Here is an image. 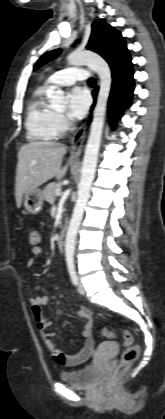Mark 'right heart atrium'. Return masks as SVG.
Wrapping results in <instances>:
<instances>
[{
	"mask_svg": "<svg viewBox=\"0 0 165 419\" xmlns=\"http://www.w3.org/2000/svg\"><path fill=\"white\" fill-rule=\"evenodd\" d=\"M55 125L59 134L64 133L70 127V122L68 119L61 113H55Z\"/></svg>",
	"mask_w": 165,
	"mask_h": 419,
	"instance_id": "d8ad5b80",
	"label": "right heart atrium"
}]
</instances>
